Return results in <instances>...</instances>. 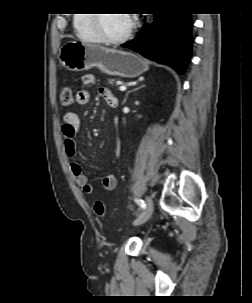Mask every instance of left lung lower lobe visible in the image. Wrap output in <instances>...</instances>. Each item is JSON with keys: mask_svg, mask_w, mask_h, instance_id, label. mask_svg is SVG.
<instances>
[{"mask_svg": "<svg viewBox=\"0 0 252 303\" xmlns=\"http://www.w3.org/2000/svg\"><path fill=\"white\" fill-rule=\"evenodd\" d=\"M191 27L190 14H157L152 25H145L131 42L121 46L182 74L191 55Z\"/></svg>", "mask_w": 252, "mask_h": 303, "instance_id": "obj_1", "label": "left lung lower lobe"}]
</instances>
